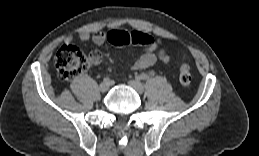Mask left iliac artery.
<instances>
[{"instance_id": "1", "label": "left iliac artery", "mask_w": 259, "mask_h": 156, "mask_svg": "<svg viewBox=\"0 0 259 156\" xmlns=\"http://www.w3.org/2000/svg\"><path fill=\"white\" fill-rule=\"evenodd\" d=\"M139 79L146 80V79H148V75L146 73H142L139 75Z\"/></svg>"}]
</instances>
